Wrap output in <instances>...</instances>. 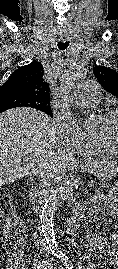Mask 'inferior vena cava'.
<instances>
[{
    "label": "inferior vena cava",
    "instance_id": "inferior-vena-cava-1",
    "mask_svg": "<svg viewBox=\"0 0 118 269\" xmlns=\"http://www.w3.org/2000/svg\"><path fill=\"white\" fill-rule=\"evenodd\" d=\"M38 175V187H39V197L37 202L39 206L44 205L46 202V192L48 188L51 186V183L56 176V174L52 171L51 167L48 165H43L42 170L39 171ZM43 243V242H41Z\"/></svg>",
    "mask_w": 118,
    "mask_h": 269
}]
</instances>
